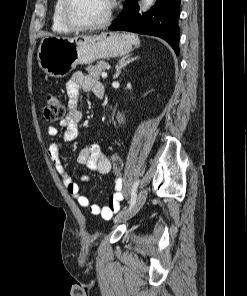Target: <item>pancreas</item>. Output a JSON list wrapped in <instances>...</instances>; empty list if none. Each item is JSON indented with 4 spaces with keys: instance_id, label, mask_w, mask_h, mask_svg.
I'll list each match as a JSON object with an SVG mask.
<instances>
[{
    "instance_id": "obj_1",
    "label": "pancreas",
    "mask_w": 247,
    "mask_h": 296,
    "mask_svg": "<svg viewBox=\"0 0 247 296\" xmlns=\"http://www.w3.org/2000/svg\"><path fill=\"white\" fill-rule=\"evenodd\" d=\"M107 63L105 61H99L95 65H90L86 68L89 75L95 79H100L101 73L106 69Z\"/></svg>"
}]
</instances>
